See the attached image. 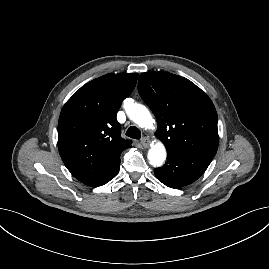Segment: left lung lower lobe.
I'll return each instance as SVG.
<instances>
[{"mask_svg": "<svg viewBox=\"0 0 269 269\" xmlns=\"http://www.w3.org/2000/svg\"><path fill=\"white\" fill-rule=\"evenodd\" d=\"M165 165L154 169L155 176L166 186L181 188L197 180L214 156L181 149H168Z\"/></svg>", "mask_w": 269, "mask_h": 269, "instance_id": "1", "label": "left lung lower lobe"}]
</instances>
